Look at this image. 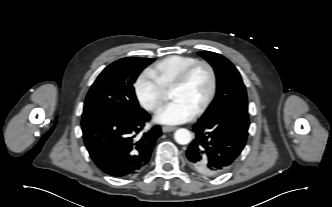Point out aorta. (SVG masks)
<instances>
[{
	"instance_id": "762f6f07",
	"label": "aorta",
	"mask_w": 332,
	"mask_h": 207,
	"mask_svg": "<svg viewBox=\"0 0 332 207\" xmlns=\"http://www.w3.org/2000/svg\"><path fill=\"white\" fill-rule=\"evenodd\" d=\"M174 139L178 144L186 145L191 141V133L185 128H180L174 133Z\"/></svg>"
}]
</instances>
